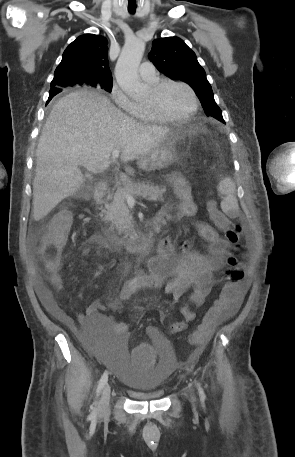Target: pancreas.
I'll use <instances>...</instances> for the list:
<instances>
[{"label": "pancreas", "mask_w": 295, "mask_h": 457, "mask_svg": "<svg viewBox=\"0 0 295 457\" xmlns=\"http://www.w3.org/2000/svg\"><path fill=\"white\" fill-rule=\"evenodd\" d=\"M165 188H160L148 183H126L119 189L106 211L105 219L111 222L112 228L116 229L119 235L124 238L132 237L135 234L134 219L126 204V196H141L150 201H163Z\"/></svg>", "instance_id": "obj_1"}]
</instances>
